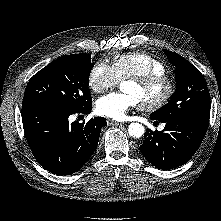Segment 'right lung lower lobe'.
I'll use <instances>...</instances> for the list:
<instances>
[{
	"mask_svg": "<svg viewBox=\"0 0 221 221\" xmlns=\"http://www.w3.org/2000/svg\"><path fill=\"white\" fill-rule=\"evenodd\" d=\"M42 104L22 106V122L27 142L39 164L59 175L77 172L95 151L100 131L106 125L102 117L90 119L86 124L68 118L75 113Z\"/></svg>",
	"mask_w": 221,
	"mask_h": 221,
	"instance_id": "98d812e1",
	"label": "right lung lower lobe"
}]
</instances>
